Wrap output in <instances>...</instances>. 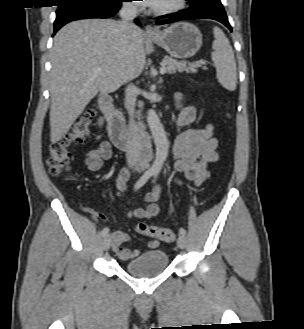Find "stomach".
<instances>
[{
	"mask_svg": "<svg viewBox=\"0 0 304 329\" xmlns=\"http://www.w3.org/2000/svg\"><path fill=\"white\" fill-rule=\"evenodd\" d=\"M151 39L171 56L181 59L194 56L202 46L200 30L188 22L174 23Z\"/></svg>",
	"mask_w": 304,
	"mask_h": 329,
	"instance_id": "1",
	"label": "stomach"
}]
</instances>
